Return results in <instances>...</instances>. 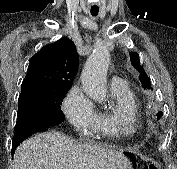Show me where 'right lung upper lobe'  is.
<instances>
[{
    "instance_id": "obj_1",
    "label": "right lung upper lobe",
    "mask_w": 177,
    "mask_h": 169,
    "mask_svg": "<svg viewBox=\"0 0 177 169\" xmlns=\"http://www.w3.org/2000/svg\"><path fill=\"white\" fill-rule=\"evenodd\" d=\"M74 43L63 37L43 46L28 66L19 99H52L67 92L77 73L78 54Z\"/></svg>"
}]
</instances>
